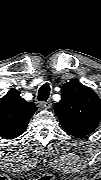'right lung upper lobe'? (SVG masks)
<instances>
[{
  "label": "right lung upper lobe",
  "mask_w": 101,
  "mask_h": 180,
  "mask_svg": "<svg viewBox=\"0 0 101 180\" xmlns=\"http://www.w3.org/2000/svg\"><path fill=\"white\" fill-rule=\"evenodd\" d=\"M36 110L33 102L25 101L15 88L10 89L0 99V135L7 139L20 136Z\"/></svg>",
  "instance_id": "right-lung-upper-lobe-1"
}]
</instances>
